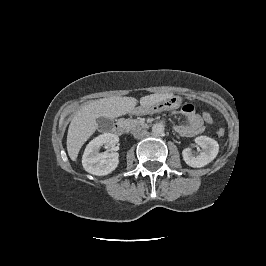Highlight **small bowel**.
Segmentation results:
<instances>
[{
    "label": "small bowel",
    "instance_id": "obj_1",
    "mask_svg": "<svg viewBox=\"0 0 266 266\" xmlns=\"http://www.w3.org/2000/svg\"><path fill=\"white\" fill-rule=\"evenodd\" d=\"M187 119L186 124H178L175 131L181 136L193 137L200 134L204 130V124L201 116L196 112L195 106L191 103L184 104L180 111Z\"/></svg>",
    "mask_w": 266,
    "mask_h": 266
}]
</instances>
